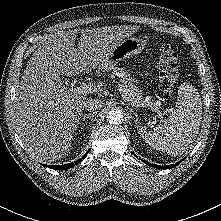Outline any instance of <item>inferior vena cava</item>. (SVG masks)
Returning <instances> with one entry per match:
<instances>
[{"label": "inferior vena cava", "mask_w": 221, "mask_h": 221, "mask_svg": "<svg viewBox=\"0 0 221 221\" xmlns=\"http://www.w3.org/2000/svg\"><path fill=\"white\" fill-rule=\"evenodd\" d=\"M103 101L100 99H89L85 102L84 107L87 111H96L103 106Z\"/></svg>", "instance_id": "602c4592"}]
</instances>
